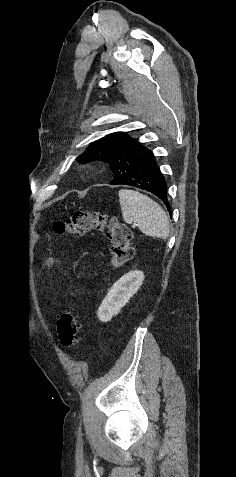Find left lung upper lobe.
Masks as SVG:
<instances>
[{
    "mask_svg": "<svg viewBox=\"0 0 236 477\" xmlns=\"http://www.w3.org/2000/svg\"><path fill=\"white\" fill-rule=\"evenodd\" d=\"M146 150L147 148L134 139L121 132H116L90 144L76 160L79 163H88L95 160L108 162L115 174V178L110 184H120L130 174L137 158Z\"/></svg>",
    "mask_w": 236,
    "mask_h": 477,
    "instance_id": "left-lung-upper-lobe-1",
    "label": "left lung upper lobe"
}]
</instances>
